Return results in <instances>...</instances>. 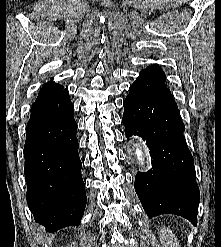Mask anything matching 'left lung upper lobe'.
<instances>
[{
    "mask_svg": "<svg viewBox=\"0 0 221 247\" xmlns=\"http://www.w3.org/2000/svg\"><path fill=\"white\" fill-rule=\"evenodd\" d=\"M166 76L157 64L147 67L140 72L139 78L132 84L133 87L153 98L176 104L170 90L165 84Z\"/></svg>",
    "mask_w": 221,
    "mask_h": 247,
    "instance_id": "obj_1",
    "label": "left lung upper lobe"
}]
</instances>
